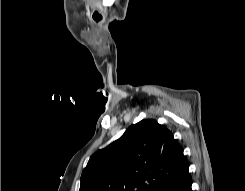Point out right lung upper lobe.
Listing matches in <instances>:
<instances>
[{"label": "right lung upper lobe", "mask_w": 245, "mask_h": 191, "mask_svg": "<svg viewBox=\"0 0 245 191\" xmlns=\"http://www.w3.org/2000/svg\"><path fill=\"white\" fill-rule=\"evenodd\" d=\"M187 169L171 132L146 119L91 156L79 191H157Z\"/></svg>", "instance_id": "cb5924a9"}]
</instances>
